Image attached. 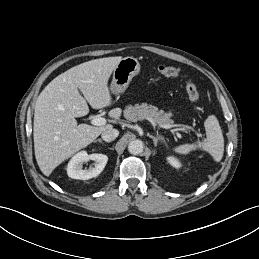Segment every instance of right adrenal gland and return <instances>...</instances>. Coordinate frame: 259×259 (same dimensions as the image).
Here are the masks:
<instances>
[{
    "instance_id": "right-adrenal-gland-1",
    "label": "right adrenal gland",
    "mask_w": 259,
    "mask_h": 259,
    "mask_svg": "<svg viewBox=\"0 0 259 259\" xmlns=\"http://www.w3.org/2000/svg\"><path fill=\"white\" fill-rule=\"evenodd\" d=\"M94 142H99V143L104 144V142H103L101 139H97V140H95Z\"/></svg>"
}]
</instances>
